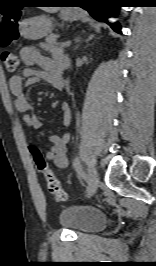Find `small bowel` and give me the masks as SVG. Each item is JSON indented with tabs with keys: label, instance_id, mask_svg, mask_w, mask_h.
<instances>
[{
	"label": "small bowel",
	"instance_id": "c3829d8e",
	"mask_svg": "<svg viewBox=\"0 0 156 266\" xmlns=\"http://www.w3.org/2000/svg\"><path fill=\"white\" fill-rule=\"evenodd\" d=\"M20 57L26 67L21 74L10 78L9 89L14 96V105L22 114L25 124L31 128L38 129L42 126V123L28 103L25 90L29 85L41 81L50 83L56 89H62L64 86L62 72L64 70V61L67 58L59 50H52V57H46L33 46L22 47ZM61 111L62 124L64 127H68L72 118L69 105L63 103ZM48 141L51 143V147L46 153V159L52 161L57 168H66L68 166L67 146L70 141V133L50 135L48 136Z\"/></svg>",
	"mask_w": 156,
	"mask_h": 266
}]
</instances>
